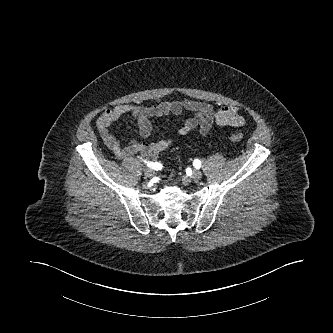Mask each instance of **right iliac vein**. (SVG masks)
<instances>
[{
  "label": "right iliac vein",
  "mask_w": 333,
  "mask_h": 333,
  "mask_svg": "<svg viewBox=\"0 0 333 333\" xmlns=\"http://www.w3.org/2000/svg\"><path fill=\"white\" fill-rule=\"evenodd\" d=\"M144 174L147 176V177H152L154 172L151 168H145L144 169Z\"/></svg>",
  "instance_id": "obj_1"
}]
</instances>
